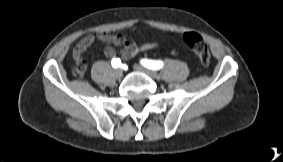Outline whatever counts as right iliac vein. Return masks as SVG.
I'll return each mask as SVG.
<instances>
[{
  "label": "right iliac vein",
  "instance_id": "1",
  "mask_svg": "<svg viewBox=\"0 0 283 162\" xmlns=\"http://www.w3.org/2000/svg\"><path fill=\"white\" fill-rule=\"evenodd\" d=\"M122 75H123V70H122V69L117 68V69L114 70V76H115L117 79L121 78Z\"/></svg>",
  "mask_w": 283,
  "mask_h": 162
}]
</instances>
